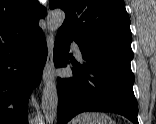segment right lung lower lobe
Listing matches in <instances>:
<instances>
[{
    "mask_svg": "<svg viewBox=\"0 0 156 124\" xmlns=\"http://www.w3.org/2000/svg\"><path fill=\"white\" fill-rule=\"evenodd\" d=\"M46 59L41 29L0 43V124H28L29 95L40 81Z\"/></svg>",
    "mask_w": 156,
    "mask_h": 124,
    "instance_id": "98d812e1",
    "label": "right lung lower lobe"
}]
</instances>
